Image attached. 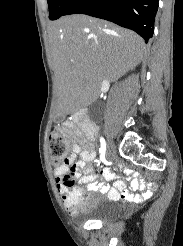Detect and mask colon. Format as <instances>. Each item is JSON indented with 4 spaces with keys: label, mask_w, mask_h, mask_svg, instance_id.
<instances>
[{
    "label": "colon",
    "mask_w": 183,
    "mask_h": 246,
    "mask_svg": "<svg viewBox=\"0 0 183 246\" xmlns=\"http://www.w3.org/2000/svg\"><path fill=\"white\" fill-rule=\"evenodd\" d=\"M68 147L63 134L59 131H54L49 137V153L50 158L55 167L65 166L68 164L67 157ZM73 173V172H69ZM66 184H73L74 178H64ZM73 208H81L83 201L75 199L71 205Z\"/></svg>",
    "instance_id": "colon-1"
}]
</instances>
